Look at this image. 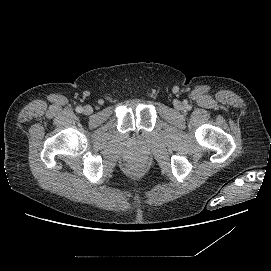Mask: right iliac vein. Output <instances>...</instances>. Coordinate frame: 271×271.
Masks as SVG:
<instances>
[{
	"instance_id": "right-iliac-vein-1",
	"label": "right iliac vein",
	"mask_w": 271,
	"mask_h": 271,
	"mask_svg": "<svg viewBox=\"0 0 271 271\" xmlns=\"http://www.w3.org/2000/svg\"><path fill=\"white\" fill-rule=\"evenodd\" d=\"M83 112H84V114L89 115L93 112V108L90 105H86L83 108Z\"/></svg>"
}]
</instances>
